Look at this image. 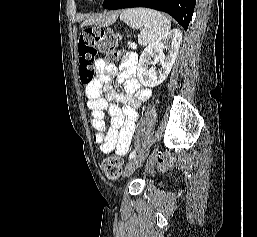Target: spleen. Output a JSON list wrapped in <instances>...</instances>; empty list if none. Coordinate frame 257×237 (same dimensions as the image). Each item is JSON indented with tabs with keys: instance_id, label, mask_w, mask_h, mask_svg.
<instances>
[{
	"instance_id": "3e777b00",
	"label": "spleen",
	"mask_w": 257,
	"mask_h": 237,
	"mask_svg": "<svg viewBox=\"0 0 257 237\" xmlns=\"http://www.w3.org/2000/svg\"><path fill=\"white\" fill-rule=\"evenodd\" d=\"M120 19L132 28L139 29L138 43L149 45L167 34L170 21L160 12L145 8L126 9Z\"/></svg>"
}]
</instances>
